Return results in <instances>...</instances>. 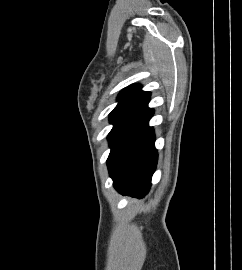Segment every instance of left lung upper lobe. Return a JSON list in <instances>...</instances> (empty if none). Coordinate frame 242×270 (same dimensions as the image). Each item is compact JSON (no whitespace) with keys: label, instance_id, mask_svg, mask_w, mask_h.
Returning <instances> with one entry per match:
<instances>
[{"label":"left lung upper lobe","instance_id":"5c2ea615","mask_svg":"<svg viewBox=\"0 0 242 270\" xmlns=\"http://www.w3.org/2000/svg\"><path fill=\"white\" fill-rule=\"evenodd\" d=\"M149 97L150 92L142 91L140 85L135 84L125 88L117 98L119 103L109 114L110 122L115 125Z\"/></svg>","mask_w":242,"mask_h":270}]
</instances>
